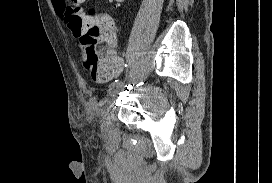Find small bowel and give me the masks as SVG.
Here are the masks:
<instances>
[{
    "instance_id": "c3829d8e",
    "label": "small bowel",
    "mask_w": 272,
    "mask_h": 183,
    "mask_svg": "<svg viewBox=\"0 0 272 183\" xmlns=\"http://www.w3.org/2000/svg\"><path fill=\"white\" fill-rule=\"evenodd\" d=\"M57 14L65 21V5L63 0H52ZM122 69V60L119 58L116 69L113 73L105 79H99L93 76L94 80L99 82L109 81L119 75Z\"/></svg>"
}]
</instances>
